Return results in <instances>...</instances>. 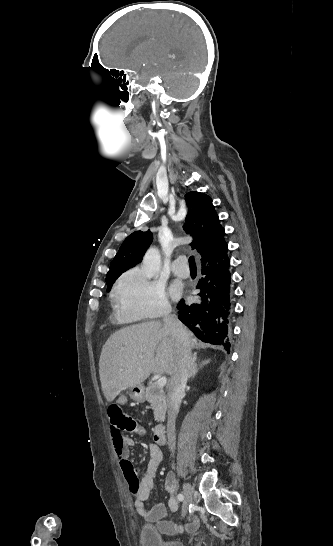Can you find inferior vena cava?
Segmentation results:
<instances>
[{"mask_svg": "<svg viewBox=\"0 0 333 546\" xmlns=\"http://www.w3.org/2000/svg\"><path fill=\"white\" fill-rule=\"evenodd\" d=\"M163 321L164 331L169 333L171 338L175 341L177 351V363L168 384L167 394L168 446L170 450L174 452L176 444L175 420L179 412L180 404L185 392V386L192 368V356L188 332L178 318L171 314L170 307L165 308L163 312Z\"/></svg>", "mask_w": 333, "mask_h": 546, "instance_id": "inferior-vena-cava-1", "label": "inferior vena cava"}]
</instances>
